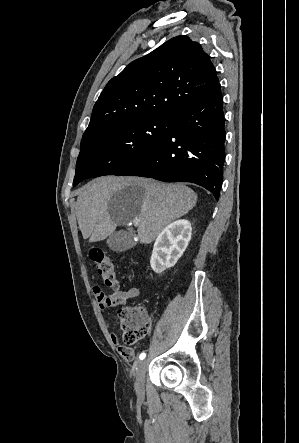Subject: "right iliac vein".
I'll list each match as a JSON object with an SVG mask.
<instances>
[{
	"label": "right iliac vein",
	"instance_id": "obj_1",
	"mask_svg": "<svg viewBox=\"0 0 299 443\" xmlns=\"http://www.w3.org/2000/svg\"><path fill=\"white\" fill-rule=\"evenodd\" d=\"M147 370V361L143 360L138 364L135 380V390L137 395L142 398L144 396V380Z\"/></svg>",
	"mask_w": 299,
	"mask_h": 443
}]
</instances>
